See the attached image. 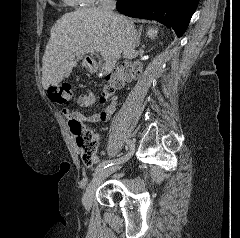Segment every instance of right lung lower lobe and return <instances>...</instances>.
<instances>
[{
    "label": "right lung lower lobe",
    "mask_w": 240,
    "mask_h": 238,
    "mask_svg": "<svg viewBox=\"0 0 240 238\" xmlns=\"http://www.w3.org/2000/svg\"><path fill=\"white\" fill-rule=\"evenodd\" d=\"M199 0H118L116 8L129 17L156 20L174 29L180 37L186 31Z\"/></svg>",
    "instance_id": "right-lung-lower-lobe-1"
}]
</instances>
